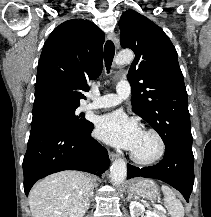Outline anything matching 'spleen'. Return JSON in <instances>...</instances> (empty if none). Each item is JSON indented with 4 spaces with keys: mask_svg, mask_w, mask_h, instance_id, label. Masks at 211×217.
<instances>
[{
    "mask_svg": "<svg viewBox=\"0 0 211 217\" xmlns=\"http://www.w3.org/2000/svg\"><path fill=\"white\" fill-rule=\"evenodd\" d=\"M165 198L164 203L172 217H184V208L180 200H178L175 196V193L171 188L166 185H162L161 187Z\"/></svg>",
    "mask_w": 211,
    "mask_h": 217,
    "instance_id": "1",
    "label": "spleen"
}]
</instances>
